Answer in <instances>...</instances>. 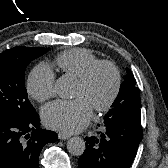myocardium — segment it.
<instances>
[{"label": "myocardium", "mask_w": 168, "mask_h": 168, "mask_svg": "<svg viewBox=\"0 0 168 168\" xmlns=\"http://www.w3.org/2000/svg\"><path fill=\"white\" fill-rule=\"evenodd\" d=\"M108 68L113 75L112 89L105 101L95 105L93 108L97 112L108 111L115 103L121 88V74L118 66L110 60H98L93 63L88 69L78 78V82L83 86L90 84L97 71L102 68Z\"/></svg>", "instance_id": "f54148a6"}]
</instances>
